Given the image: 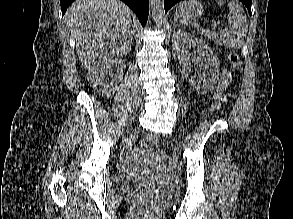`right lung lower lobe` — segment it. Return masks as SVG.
Segmentation results:
<instances>
[{
	"label": "right lung lower lobe",
	"mask_w": 293,
	"mask_h": 219,
	"mask_svg": "<svg viewBox=\"0 0 293 219\" xmlns=\"http://www.w3.org/2000/svg\"><path fill=\"white\" fill-rule=\"evenodd\" d=\"M75 0H60L62 16L65 14L68 6ZM126 3L138 16L142 26L148 19L149 0H122Z\"/></svg>",
	"instance_id": "right-lung-lower-lobe-1"
}]
</instances>
